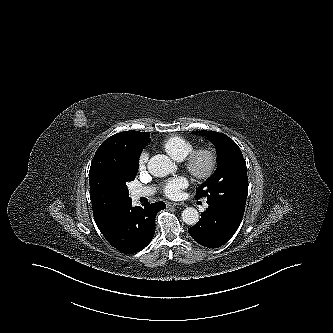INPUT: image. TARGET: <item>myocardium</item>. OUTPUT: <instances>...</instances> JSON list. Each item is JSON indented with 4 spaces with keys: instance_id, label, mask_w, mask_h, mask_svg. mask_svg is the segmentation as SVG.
Returning a JSON list of instances; mask_svg holds the SVG:
<instances>
[{
    "instance_id": "obj_1",
    "label": "myocardium",
    "mask_w": 333,
    "mask_h": 333,
    "mask_svg": "<svg viewBox=\"0 0 333 333\" xmlns=\"http://www.w3.org/2000/svg\"><path fill=\"white\" fill-rule=\"evenodd\" d=\"M184 168L196 179H208L217 165L216 152L208 146L193 149L183 160Z\"/></svg>"
}]
</instances>
